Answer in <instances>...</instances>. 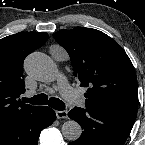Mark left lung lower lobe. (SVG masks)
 Segmentation results:
<instances>
[{
    "mask_svg": "<svg viewBox=\"0 0 145 145\" xmlns=\"http://www.w3.org/2000/svg\"><path fill=\"white\" fill-rule=\"evenodd\" d=\"M68 116L84 130L82 135L69 145H123L134 125L136 112L75 107Z\"/></svg>",
    "mask_w": 145,
    "mask_h": 145,
    "instance_id": "1",
    "label": "left lung lower lobe"
}]
</instances>
